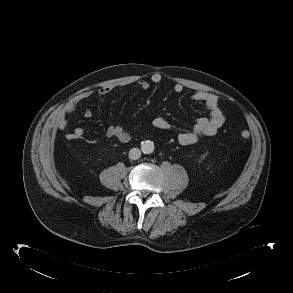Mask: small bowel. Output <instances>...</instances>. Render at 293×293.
<instances>
[{
	"mask_svg": "<svg viewBox=\"0 0 293 293\" xmlns=\"http://www.w3.org/2000/svg\"><path fill=\"white\" fill-rule=\"evenodd\" d=\"M161 79V75L155 73L150 77V82L152 84H159ZM133 87L141 91H147L150 88V83L146 80H138L133 84ZM113 89L112 86L102 87L97 91L96 95L99 98H103L113 91ZM173 90L176 93H182L184 87L182 84L176 83L173 86ZM91 96L92 93L89 91L77 94L53 114L50 120L51 126L61 130L67 128L68 115L75 111L79 103ZM191 100L204 103L208 111V116L198 118L190 131H184L178 134V142L183 146L195 144L203 137L215 135L225 122V114L220 106L219 97L216 94L200 90L191 95ZM92 116V110L86 109L84 111L85 118L89 119ZM152 124L159 130L171 131L174 129L163 117L155 118ZM106 133L108 137L116 138L122 143H127L132 139L131 132L125 126L119 124L110 125ZM83 134L84 129L77 127L73 131L67 133L66 138L68 140H78Z\"/></svg>",
	"mask_w": 293,
	"mask_h": 293,
	"instance_id": "obj_1",
	"label": "small bowel"
}]
</instances>
